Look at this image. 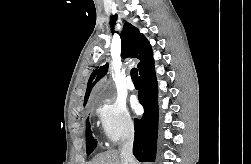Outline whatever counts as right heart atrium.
<instances>
[{
	"mask_svg": "<svg viewBox=\"0 0 251 164\" xmlns=\"http://www.w3.org/2000/svg\"><path fill=\"white\" fill-rule=\"evenodd\" d=\"M95 112L109 142L116 143L133 133L134 122L126 105L114 97L104 98Z\"/></svg>",
	"mask_w": 251,
	"mask_h": 164,
	"instance_id": "obj_1",
	"label": "right heart atrium"
}]
</instances>
